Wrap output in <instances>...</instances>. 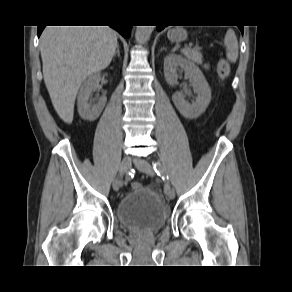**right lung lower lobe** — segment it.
<instances>
[{
    "instance_id": "right-lung-lower-lobe-1",
    "label": "right lung lower lobe",
    "mask_w": 292,
    "mask_h": 292,
    "mask_svg": "<svg viewBox=\"0 0 292 292\" xmlns=\"http://www.w3.org/2000/svg\"><path fill=\"white\" fill-rule=\"evenodd\" d=\"M44 27L38 26V36H40ZM111 27L114 28L115 30H117L122 36H124L126 38L130 37V32H131V28H132L131 25L115 24V25H111Z\"/></svg>"
}]
</instances>
